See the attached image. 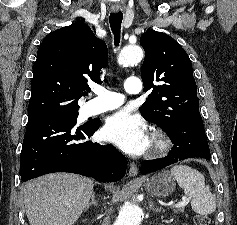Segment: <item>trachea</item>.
Masks as SVG:
<instances>
[{
    "label": "trachea",
    "mask_w": 237,
    "mask_h": 225,
    "mask_svg": "<svg viewBox=\"0 0 237 225\" xmlns=\"http://www.w3.org/2000/svg\"><path fill=\"white\" fill-rule=\"evenodd\" d=\"M122 19H123V14L120 12L111 13L109 17L110 27L114 34L115 46H118L120 42V30H121Z\"/></svg>",
    "instance_id": "obj_1"
}]
</instances>
